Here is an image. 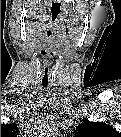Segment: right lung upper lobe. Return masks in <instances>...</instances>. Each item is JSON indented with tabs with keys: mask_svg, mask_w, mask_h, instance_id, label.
I'll list each match as a JSON object with an SVG mask.
<instances>
[{
	"mask_svg": "<svg viewBox=\"0 0 121 137\" xmlns=\"http://www.w3.org/2000/svg\"><path fill=\"white\" fill-rule=\"evenodd\" d=\"M17 128L15 124H1V132L9 133V130L14 131Z\"/></svg>",
	"mask_w": 121,
	"mask_h": 137,
	"instance_id": "1",
	"label": "right lung upper lobe"
}]
</instances>
